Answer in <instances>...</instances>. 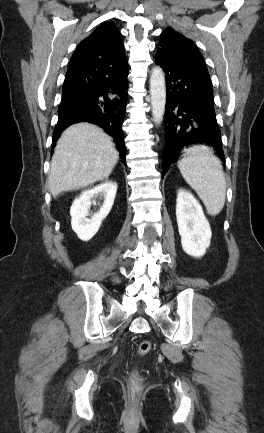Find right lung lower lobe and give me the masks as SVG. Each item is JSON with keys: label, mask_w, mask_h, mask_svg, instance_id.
I'll use <instances>...</instances> for the list:
<instances>
[{"label": "right lung lower lobe", "mask_w": 264, "mask_h": 433, "mask_svg": "<svg viewBox=\"0 0 264 433\" xmlns=\"http://www.w3.org/2000/svg\"><path fill=\"white\" fill-rule=\"evenodd\" d=\"M127 76V61L119 65L96 63L69 67L58 108V123L53 131V146L68 126L90 122L113 136L125 159L122 124L127 104Z\"/></svg>", "instance_id": "right-lung-lower-lobe-1"}]
</instances>
